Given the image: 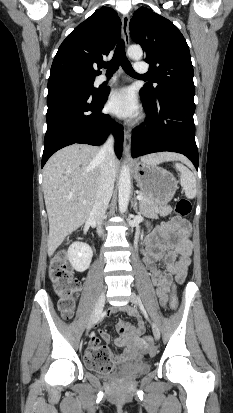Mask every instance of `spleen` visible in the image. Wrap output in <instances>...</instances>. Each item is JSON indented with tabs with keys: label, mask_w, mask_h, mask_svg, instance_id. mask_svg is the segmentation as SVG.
Here are the masks:
<instances>
[{
	"label": "spleen",
	"mask_w": 233,
	"mask_h": 413,
	"mask_svg": "<svg viewBox=\"0 0 233 413\" xmlns=\"http://www.w3.org/2000/svg\"><path fill=\"white\" fill-rule=\"evenodd\" d=\"M176 169L181 173L180 183L185 191V195L188 199H193L196 196V178L193 172H191L186 166L181 163L175 164Z\"/></svg>",
	"instance_id": "1"
}]
</instances>
